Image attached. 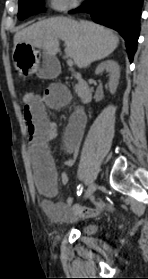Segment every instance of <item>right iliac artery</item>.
Returning a JSON list of instances; mask_svg holds the SVG:
<instances>
[{
    "instance_id": "1",
    "label": "right iliac artery",
    "mask_w": 148,
    "mask_h": 279,
    "mask_svg": "<svg viewBox=\"0 0 148 279\" xmlns=\"http://www.w3.org/2000/svg\"><path fill=\"white\" fill-rule=\"evenodd\" d=\"M82 191H83V186L80 184L77 187V195L80 196L82 194Z\"/></svg>"
}]
</instances>
